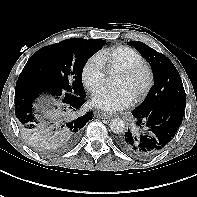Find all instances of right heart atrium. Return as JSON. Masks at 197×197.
<instances>
[{"instance_id":"1","label":"right heart atrium","mask_w":197,"mask_h":197,"mask_svg":"<svg viewBox=\"0 0 197 197\" xmlns=\"http://www.w3.org/2000/svg\"><path fill=\"white\" fill-rule=\"evenodd\" d=\"M106 67L98 55L90 57L81 71L82 82L92 93L96 92L104 83Z\"/></svg>"}]
</instances>
